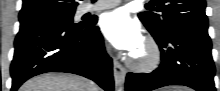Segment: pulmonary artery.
<instances>
[{
    "label": "pulmonary artery",
    "instance_id": "1",
    "mask_svg": "<svg viewBox=\"0 0 220 91\" xmlns=\"http://www.w3.org/2000/svg\"><path fill=\"white\" fill-rule=\"evenodd\" d=\"M121 1L120 0H99L94 5H91L86 8V11L96 12L117 6Z\"/></svg>",
    "mask_w": 220,
    "mask_h": 91
}]
</instances>
